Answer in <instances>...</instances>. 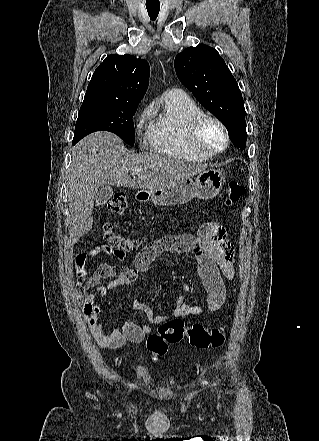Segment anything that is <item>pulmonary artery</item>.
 Instances as JSON below:
<instances>
[{
  "label": "pulmonary artery",
  "mask_w": 319,
  "mask_h": 441,
  "mask_svg": "<svg viewBox=\"0 0 319 441\" xmlns=\"http://www.w3.org/2000/svg\"><path fill=\"white\" fill-rule=\"evenodd\" d=\"M167 97L181 98L186 96L185 92L179 88H173L166 93Z\"/></svg>",
  "instance_id": "obj_1"
}]
</instances>
